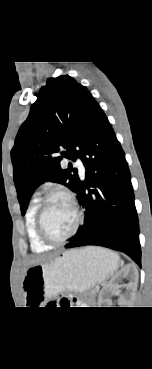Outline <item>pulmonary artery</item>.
Masks as SVG:
<instances>
[{"label": "pulmonary artery", "instance_id": "1", "mask_svg": "<svg viewBox=\"0 0 152 369\" xmlns=\"http://www.w3.org/2000/svg\"><path fill=\"white\" fill-rule=\"evenodd\" d=\"M75 166L78 168L79 172L83 175L85 173V167L80 158H77L75 161Z\"/></svg>", "mask_w": 152, "mask_h": 369}]
</instances>
